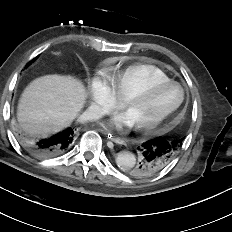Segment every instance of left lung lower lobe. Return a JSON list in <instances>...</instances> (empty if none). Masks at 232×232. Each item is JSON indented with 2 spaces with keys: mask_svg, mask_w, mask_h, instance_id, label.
Wrapping results in <instances>:
<instances>
[{
  "mask_svg": "<svg viewBox=\"0 0 232 232\" xmlns=\"http://www.w3.org/2000/svg\"><path fill=\"white\" fill-rule=\"evenodd\" d=\"M183 139L160 136L144 142L138 147L139 163L130 174L134 177H146L159 172L174 158Z\"/></svg>",
  "mask_w": 232,
  "mask_h": 232,
  "instance_id": "obj_1",
  "label": "left lung lower lobe"
}]
</instances>
